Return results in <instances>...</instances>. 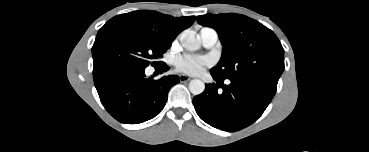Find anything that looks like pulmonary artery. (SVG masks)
<instances>
[{
    "label": "pulmonary artery",
    "instance_id": "pulmonary-artery-1",
    "mask_svg": "<svg viewBox=\"0 0 369 152\" xmlns=\"http://www.w3.org/2000/svg\"><path fill=\"white\" fill-rule=\"evenodd\" d=\"M202 44L207 47H213L218 41V33L215 29L210 27H204L200 30L198 35Z\"/></svg>",
    "mask_w": 369,
    "mask_h": 152
}]
</instances>
